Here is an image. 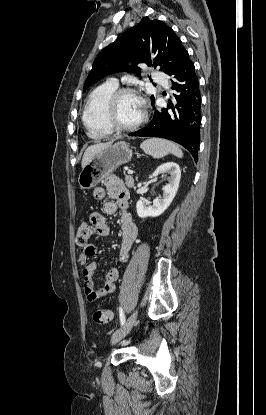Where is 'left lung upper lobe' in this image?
I'll return each mask as SVG.
<instances>
[{"label":"left lung upper lobe","instance_id":"5c2ea615","mask_svg":"<svg viewBox=\"0 0 266 415\" xmlns=\"http://www.w3.org/2000/svg\"><path fill=\"white\" fill-rule=\"evenodd\" d=\"M188 52L180 38L160 20L145 17L130 28L117 41L105 47L95 59L83 91L101 78L114 72H136L140 77V68L132 64L145 63L148 66L160 67V71L168 75L174 74ZM152 103L154 96H151Z\"/></svg>","mask_w":266,"mask_h":415}]
</instances>
